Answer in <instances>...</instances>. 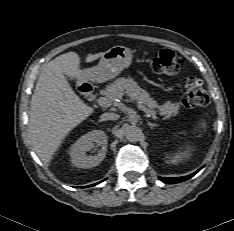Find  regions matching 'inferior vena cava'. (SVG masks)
Here are the masks:
<instances>
[{
  "label": "inferior vena cava",
  "instance_id": "obj_1",
  "mask_svg": "<svg viewBox=\"0 0 234 231\" xmlns=\"http://www.w3.org/2000/svg\"><path fill=\"white\" fill-rule=\"evenodd\" d=\"M119 115L116 113H112V112H106L104 114H102L101 119L102 120H117L119 119Z\"/></svg>",
  "mask_w": 234,
  "mask_h": 231
}]
</instances>
